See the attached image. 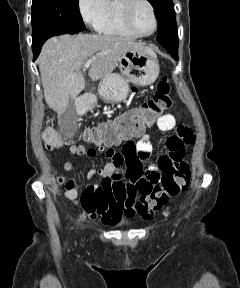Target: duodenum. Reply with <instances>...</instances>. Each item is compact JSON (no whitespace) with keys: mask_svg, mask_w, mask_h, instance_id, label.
Returning <instances> with one entry per match:
<instances>
[{"mask_svg":"<svg viewBox=\"0 0 240 288\" xmlns=\"http://www.w3.org/2000/svg\"><path fill=\"white\" fill-rule=\"evenodd\" d=\"M91 97L83 96L77 102V110L80 114H84L88 111L90 105Z\"/></svg>","mask_w":240,"mask_h":288,"instance_id":"duodenum-1","label":"duodenum"}]
</instances>
